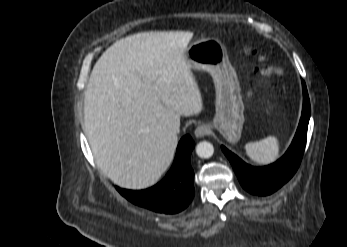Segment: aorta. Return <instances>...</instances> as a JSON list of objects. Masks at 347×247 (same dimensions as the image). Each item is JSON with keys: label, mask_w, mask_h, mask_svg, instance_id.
Here are the masks:
<instances>
[{"label": "aorta", "mask_w": 347, "mask_h": 247, "mask_svg": "<svg viewBox=\"0 0 347 247\" xmlns=\"http://www.w3.org/2000/svg\"><path fill=\"white\" fill-rule=\"evenodd\" d=\"M196 154L200 158H210L214 154V147L208 141H202L196 146Z\"/></svg>", "instance_id": "1"}]
</instances>
